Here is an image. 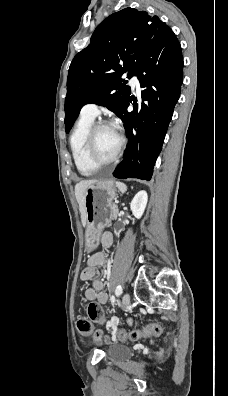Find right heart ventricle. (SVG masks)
<instances>
[{"label": "right heart ventricle", "mask_w": 228, "mask_h": 396, "mask_svg": "<svg viewBox=\"0 0 228 396\" xmlns=\"http://www.w3.org/2000/svg\"><path fill=\"white\" fill-rule=\"evenodd\" d=\"M94 119L82 115L70 136V147L74 162L78 170L84 175H91L97 171V168L88 162L85 154L86 138L90 128L94 124Z\"/></svg>", "instance_id": "right-heart-ventricle-1"}]
</instances>
